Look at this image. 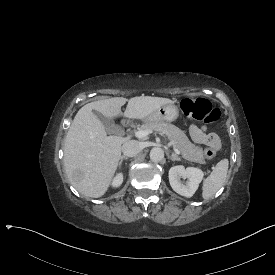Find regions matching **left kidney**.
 I'll use <instances>...</instances> for the list:
<instances>
[{
	"label": "left kidney",
	"mask_w": 275,
	"mask_h": 275,
	"mask_svg": "<svg viewBox=\"0 0 275 275\" xmlns=\"http://www.w3.org/2000/svg\"><path fill=\"white\" fill-rule=\"evenodd\" d=\"M204 173L201 169L182 165L171 167L169 170V182L172 189L185 197H192L198 189L202 181ZM181 178L187 179L186 183L181 181Z\"/></svg>",
	"instance_id": "obj_1"
}]
</instances>
